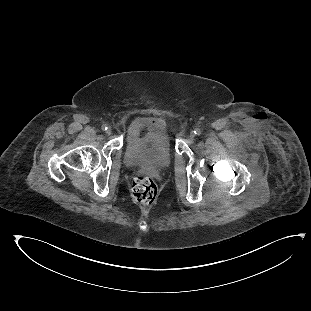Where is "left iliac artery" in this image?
Here are the masks:
<instances>
[{
    "instance_id": "obj_1",
    "label": "left iliac artery",
    "mask_w": 311,
    "mask_h": 311,
    "mask_svg": "<svg viewBox=\"0 0 311 311\" xmlns=\"http://www.w3.org/2000/svg\"><path fill=\"white\" fill-rule=\"evenodd\" d=\"M194 133H195L196 135H200V134H201V130L197 128V129L194 130Z\"/></svg>"
}]
</instances>
